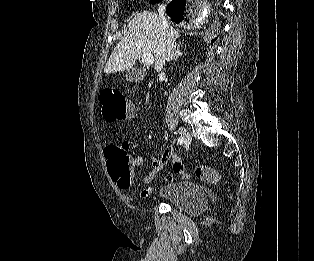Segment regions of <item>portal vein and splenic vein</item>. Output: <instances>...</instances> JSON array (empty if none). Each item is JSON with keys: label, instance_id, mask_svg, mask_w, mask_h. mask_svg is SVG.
Here are the masks:
<instances>
[{"label": "portal vein and splenic vein", "instance_id": "obj_1", "mask_svg": "<svg viewBox=\"0 0 314 261\" xmlns=\"http://www.w3.org/2000/svg\"><path fill=\"white\" fill-rule=\"evenodd\" d=\"M142 62L145 65H153L154 63V57L151 53H143L142 55Z\"/></svg>", "mask_w": 314, "mask_h": 261}]
</instances>
